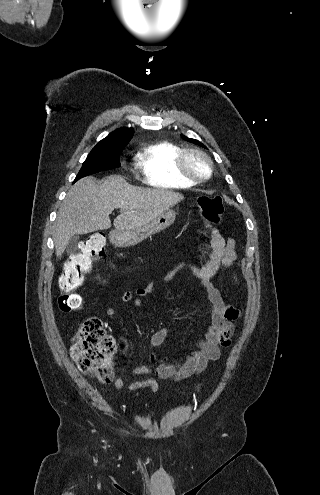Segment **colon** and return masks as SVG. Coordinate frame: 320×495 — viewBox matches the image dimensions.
Segmentation results:
<instances>
[{"instance_id": "1", "label": "colon", "mask_w": 320, "mask_h": 495, "mask_svg": "<svg viewBox=\"0 0 320 495\" xmlns=\"http://www.w3.org/2000/svg\"><path fill=\"white\" fill-rule=\"evenodd\" d=\"M200 214L210 223L217 224L224 211L222 199L218 196H201L197 199ZM105 235L93 233L82 243L79 252L72 255L64 265L59 279L62 290L58 304L62 311L71 312L82 308L83 299L75 292L92 264L101 260L105 253ZM116 339L105 330L97 317L85 318L71 346L72 359L80 371L98 378L101 383H110L114 378L113 358L117 352ZM200 390V389H197Z\"/></svg>"}]
</instances>
